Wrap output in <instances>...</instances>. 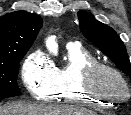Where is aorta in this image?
I'll return each mask as SVG.
<instances>
[{
	"label": "aorta",
	"mask_w": 131,
	"mask_h": 115,
	"mask_svg": "<svg viewBox=\"0 0 131 115\" xmlns=\"http://www.w3.org/2000/svg\"><path fill=\"white\" fill-rule=\"evenodd\" d=\"M46 46H47V49L51 53H53L54 55H57V53H58V44L56 43V41L52 37H49L46 40Z\"/></svg>",
	"instance_id": "aorta-1"
}]
</instances>
